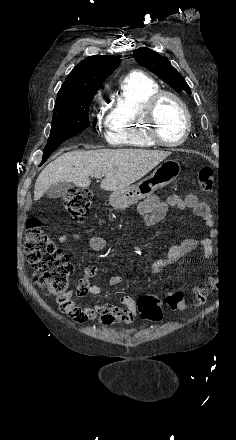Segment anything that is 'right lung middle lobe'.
Masks as SVG:
<instances>
[{
	"instance_id": "1",
	"label": "right lung middle lobe",
	"mask_w": 236,
	"mask_h": 440,
	"mask_svg": "<svg viewBox=\"0 0 236 440\" xmlns=\"http://www.w3.org/2000/svg\"><path fill=\"white\" fill-rule=\"evenodd\" d=\"M94 95L55 104L51 132L45 148L59 146L89 126L88 107Z\"/></svg>"
}]
</instances>
